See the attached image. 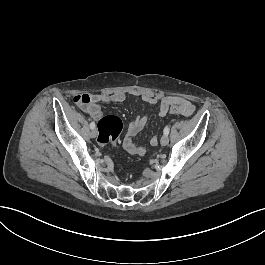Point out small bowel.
Listing matches in <instances>:
<instances>
[{
  "instance_id": "c3829d8e",
  "label": "small bowel",
  "mask_w": 265,
  "mask_h": 265,
  "mask_svg": "<svg viewBox=\"0 0 265 265\" xmlns=\"http://www.w3.org/2000/svg\"><path fill=\"white\" fill-rule=\"evenodd\" d=\"M141 99L143 102H145L148 105H157V112L160 116H165L167 113H169L167 112L165 105L167 101L171 99L178 101L179 105L182 106L184 110L182 116H190L195 110L194 104L191 101L182 97H177V96L157 97L145 93L141 96ZM90 100L91 102L90 103L88 102L86 105L82 106V108L85 113H87L91 118L96 120L101 116V107H100L101 103H114V104L123 103L126 100V95L122 91H116L111 94H94L90 95ZM147 123H148V117L143 116L136 118L128 126L127 132L123 140V147L128 153L139 156H143L147 153L148 151L147 147L138 145L134 141V137L147 125ZM157 144H158L157 136L152 135L150 137V145L156 146Z\"/></svg>"
}]
</instances>
